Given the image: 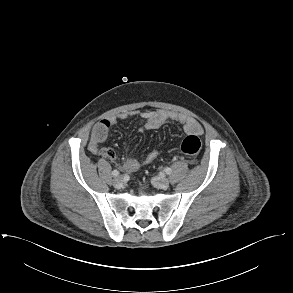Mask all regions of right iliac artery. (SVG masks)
Wrapping results in <instances>:
<instances>
[{
    "label": "right iliac artery",
    "mask_w": 293,
    "mask_h": 293,
    "mask_svg": "<svg viewBox=\"0 0 293 293\" xmlns=\"http://www.w3.org/2000/svg\"><path fill=\"white\" fill-rule=\"evenodd\" d=\"M112 175H113L114 177L118 176V175H119V171H118V170H113V171H112Z\"/></svg>",
    "instance_id": "82829eb1"
}]
</instances>
